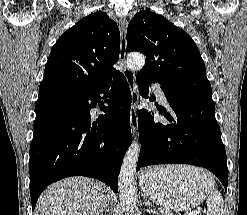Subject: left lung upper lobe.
Masks as SVG:
<instances>
[{
  "label": "left lung upper lobe",
  "instance_id": "5c2ea615",
  "mask_svg": "<svg viewBox=\"0 0 247 215\" xmlns=\"http://www.w3.org/2000/svg\"><path fill=\"white\" fill-rule=\"evenodd\" d=\"M127 49L145 54L146 63L140 72L159 84L212 100L211 84L198 47L165 17L149 10L138 12L128 25Z\"/></svg>",
  "mask_w": 247,
  "mask_h": 215
}]
</instances>
